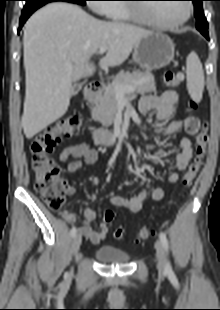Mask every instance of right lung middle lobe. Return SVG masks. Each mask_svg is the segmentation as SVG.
I'll list each match as a JSON object with an SVG mask.
<instances>
[{
    "mask_svg": "<svg viewBox=\"0 0 220 310\" xmlns=\"http://www.w3.org/2000/svg\"><path fill=\"white\" fill-rule=\"evenodd\" d=\"M54 0H26V6L38 5L44 2H50ZM73 2H77L78 4L85 5L86 0H72Z\"/></svg>",
    "mask_w": 220,
    "mask_h": 310,
    "instance_id": "dd1d6c3e",
    "label": "right lung middle lobe"
}]
</instances>
